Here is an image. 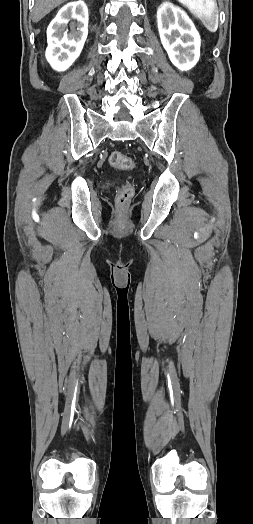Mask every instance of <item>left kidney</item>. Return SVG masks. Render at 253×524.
I'll return each mask as SVG.
<instances>
[{"label": "left kidney", "mask_w": 253, "mask_h": 524, "mask_svg": "<svg viewBox=\"0 0 253 524\" xmlns=\"http://www.w3.org/2000/svg\"><path fill=\"white\" fill-rule=\"evenodd\" d=\"M157 22L161 43L173 65L181 71L193 68L200 57L201 39L186 13L164 2L157 10Z\"/></svg>", "instance_id": "left-kidney-1"}]
</instances>
